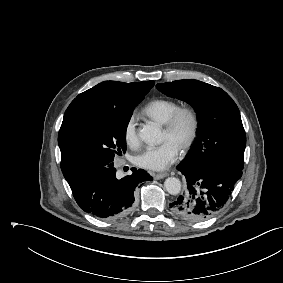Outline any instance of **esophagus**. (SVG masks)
<instances>
[{
    "label": "esophagus",
    "instance_id": "obj_1",
    "mask_svg": "<svg viewBox=\"0 0 283 283\" xmlns=\"http://www.w3.org/2000/svg\"><path fill=\"white\" fill-rule=\"evenodd\" d=\"M168 174L167 173H158V174H153L154 179L159 180V179H163L165 177H167Z\"/></svg>",
    "mask_w": 283,
    "mask_h": 283
}]
</instances>
